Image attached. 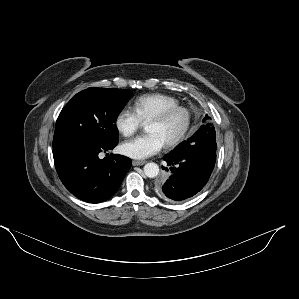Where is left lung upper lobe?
I'll return each instance as SVG.
<instances>
[{"instance_id":"5c2ea615","label":"left lung upper lobe","mask_w":299,"mask_h":299,"mask_svg":"<svg viewBox=\"0 0 299 299\" xmlns=\"http://www.w3.org/2000/svg\"><path fill=\"white\" fill-rule=\"evenodd\" d=\"M201 137L207 139L210 142L211 145L210 148L212 149L211 156L216 157V149H217L216 133L214 127L210 122V117H208V115H206L205 118L203 119V125L198 129V131L187 141H184L180 143L178 146H176L173 151H179L180 149L183 148V146L186 143H195Z\"/></svg>"}]
</instances>
